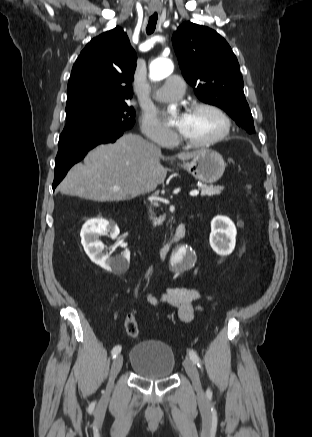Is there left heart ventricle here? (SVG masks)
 <instances>
[{
    "instance_id": "1",
    "label": "left heart ventricle",
    "mask_w": 312,
    "mask_h": 437,
    "mask_svg": "<svg viewBox=\"0 0 312 437\" xmlns=\"http://www.w3.org/2000/svg\"><path fill=\"white\" fill-rule=\"evenodd\" d=\"M223 128L222 119L210 111H197L187 114L182 135L193 141H202L218 134Z\"/></svg>"
}]
</instances>
